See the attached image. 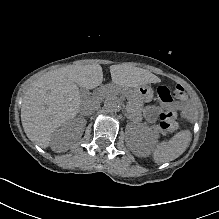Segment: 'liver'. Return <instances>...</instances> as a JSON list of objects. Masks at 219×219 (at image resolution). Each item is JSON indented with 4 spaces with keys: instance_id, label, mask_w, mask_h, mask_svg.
<instances>
[{
    "instance_id": "6515ba94",
    "label": "liver",
    "mask_w": 219,
    "mask_h": 219,
    "mask_svg": "<svg viewBox=\"0 0 219 219\" xmlns=\"http://www.w3.org/2000/svg\"><path fill=\"white\" fill-rule=\"evenodd\" d=\"M110 70L113 83L118 86L139 87L151 82L152 74L142 68L125 64L113 65ZM102 80L99 64L65 66L37 78L26 90L21 107L22 126L27 137L44 148L55 130L69 123L83 104L94 105L91 111L97 110L100 97L84 96L79 87L94 89Z\"/></svg>"
}]
</instances>
